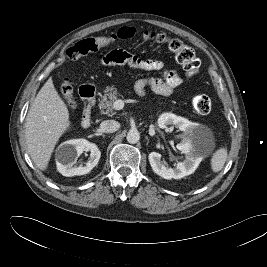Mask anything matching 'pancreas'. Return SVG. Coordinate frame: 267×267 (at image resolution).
I'll use <instances>...</instances> for the list:
<instances>
[{"mask_svg": "<svg viewBox=\"0 0 267 267\" xmlns=\"http://www.w3.org/2000/svg\"><path fill=\"white\" fill-rule=\"evenodd\" d=\"M118 94L119 93L114 86L107 87L104 90V95H101V99H99L98 105L102 114L108 116H112L115 114L113 103L117 100Z\"/></svg>", "mask_w": 267, "mask_h": 267, "instance_id": "1", "label": "pancreas"}]
</instances>
